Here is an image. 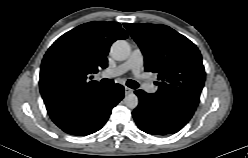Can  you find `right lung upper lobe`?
Instances as JSON below:
<instances>
[{
	"label": "right lung upper lobe",
	"mask_w": 248,
	"mask_h": 158,
	"mask_svg": "<svg viewBox=\"0 0 248 158\" xmlns=\"http://www.w3.org/2000/svg\"><path fill=\"white\" fill-rule=\"evenodd\" d=\"M127 33L117 22L82 24L59 37L46 52L39 87L46 108L64 104L101 87L90 81L98 68L107 67V54Z\"/></svg>",
	"instance_id": "obj_1"
}]
</instances>
